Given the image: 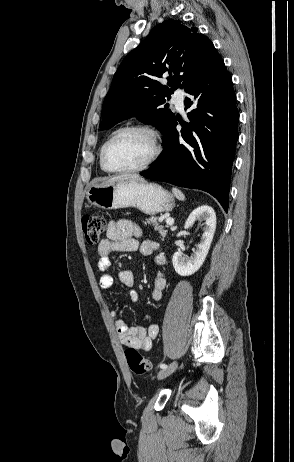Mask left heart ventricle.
<instances>
[{
  "label": "left heart ventricle",
  "mask_w": 294,
  "mask_h": 462,
  "mask_svg": "<svg viewBox=\"0 0 294 462\" xmlns=\"http://www.w3.org/2000/svg\"><path fill=\"white\" fill-rule=\"evenodd\" d=\"M150 137L139 131H127L108 147L106 161L113 169H126L141 165L152 153Z\"/></svg>",
  "instance_id": "obj_1"
}]
</instances>
